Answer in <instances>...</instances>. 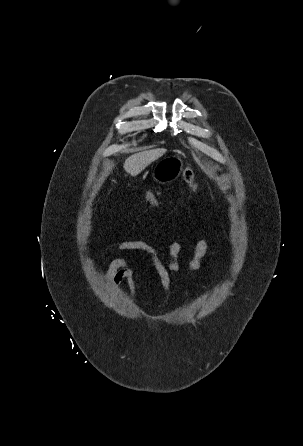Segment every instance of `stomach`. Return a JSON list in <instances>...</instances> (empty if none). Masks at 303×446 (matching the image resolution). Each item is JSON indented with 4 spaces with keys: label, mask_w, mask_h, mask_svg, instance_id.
<instances>
[{
    "label": "stomach",
    "mask_w": 303,
    "mask_h": 446,
    "mask_svg": "<svg viewBox=\"0 0 303 446\" xmlns=\"http://www.w3.org/2000/svg\"><path fill=\"white\" fill-rule=\"evenodd\" d=\"M183 166V161L178 156L166 157L155 166L152 178L159 184L170 183L181 175Z\"/></svg>",
    "instance_id": "1"
}]
</instances>
